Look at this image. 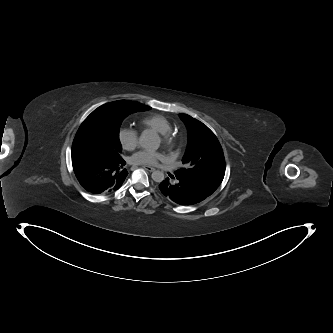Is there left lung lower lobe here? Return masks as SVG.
<instances>
[{
  "label": "left lung lower lobe",
  "instance_id": "left-lung-lower-lobe-1",
  "mask_svg": "<svg viewBox=\"0 0 333 333\" xmlns=\"http://www.w3.org/2000/svg\"><path fill=\"white\" fill-rule=\"evenodd\" d=\"M159 190L163 196L179 205H193L210 196L196 184L181 178L177 173L169 174L159 184Z\"/></svg>",
  "mask_w": 333,
  "mask_h": 333
}]
</instances>
